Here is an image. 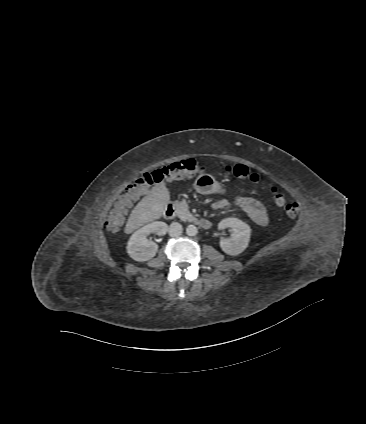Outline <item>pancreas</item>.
Segmentation results:
<instances>
[{"instance_id": "obj_1", "label": "pancreas", "mask_w": 366, "mask_h": 424, "mask_svg": "<svg viewBox=\"0 0 366 424\" xmlns=\"http://www.w3.org/2000/svg\"><path fill=\"white\" fill-rule=\"evenodd\" d=\"M177 208L182 218L193 221L195 218L189 211V206L185 200L178 203Z\"/></svg>"}]
</instances>
